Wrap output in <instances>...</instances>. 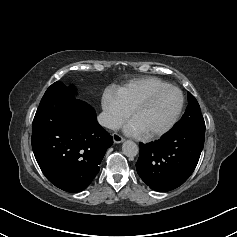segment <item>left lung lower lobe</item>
Returning a JSON list of instances; mask_svg holds the SVG:
<instances>
[{"instance_id":"1","label":"left lung lower lobe","mask_w":237,"mask_h":237,"mask_svg":"<svg viewBox=\"0 0 237 237\" xmlns=\"http://www.w3.org/2000/svg\"><path fill=\"white\" fill-rule=\"evenodd\" d=\"M205 129L171 130L159 140L140 143L136 169L153 190L169 191L182 185L194 171L204 146Z\"/></svg>"}]
</instances>
